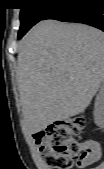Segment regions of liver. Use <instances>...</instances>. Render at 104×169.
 Returning a JSON list of instances; mask_svg holds the SVG:
<instances>
[{"label":"liver","mask_w":104,"mask_h":169,"mask_svg":"<svg viewBox=\"0 0 104 169\" xmlns=\"http://www.w3.org/2000/svg\"><path fill=\"white\" fill-rule=\"evenodd\" d=\"M17 84L28 134L83 112L104 79V34L44 20L21 40Z\"/></svg>","instance_id":"1"}]
</instances>
